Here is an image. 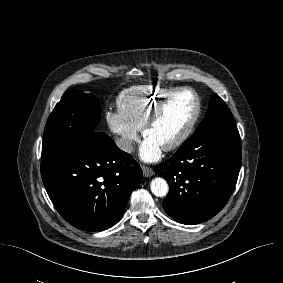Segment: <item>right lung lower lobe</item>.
Masks as SVG:
<instances>
[{"label":"right lung lower lobe","instance_id":"1","mask_svg":"<svg viewBox=\"0 0 283 283\" xmlns=\"http://www.w3.org/2000/svg\"><path fill=\"white\" fill-rule=\"evenodd\" d=\"M41 176L59 214L80 230L96 232L120 220L143 173L108 135L94 132L42 162Z\"/></svg>","mask_w":283,"mask_h":283}]
</instances>
